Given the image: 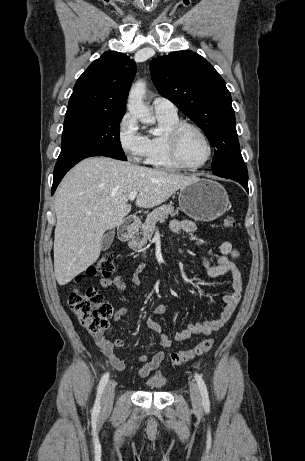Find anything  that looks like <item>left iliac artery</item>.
<instances>
[{
  "label": "left iliac artery",
  "instance_id": "left-iliac-artery-1",
  "mask_svg": "<svg viewBox=\"0 0 305 461\" xmlns=\"http://www.w3.org/2000/svg\"><path fill=\"white\" fill-rule=\"evenodd\" d=\"M195 379L201 393L203 407L205 411L208 413L210 411V402L206 384L202 379L201 375H199L198 373H195Z\"/></svg>",
  "mask_w": 305,
  "mask_h": 461
}]
</instances>
